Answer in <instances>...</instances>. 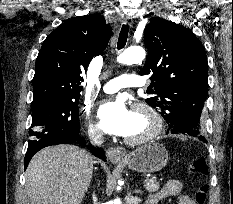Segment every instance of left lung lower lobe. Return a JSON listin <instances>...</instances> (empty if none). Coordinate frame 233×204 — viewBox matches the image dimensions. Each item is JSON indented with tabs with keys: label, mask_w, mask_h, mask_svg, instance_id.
I'll return each instance as SVG.
<instances>
[{
	"label": "left lung lower lobe",
	"mask_w": 233,
	"mask_h": 204,
	"mask_svg": "<svg viewBox=\"0 0 233 204\" xmlns=\"http://www.w3.org/2000/svg\"><path fill=\"white\" fill-rule=\"evenodd\" d=\"M197 114L198 109L196 107L185 106L174 113L171 122L176 126H194L198 123ZM169 133L173 134L172 132ZM198 138L205 143L207 142L202 135H199Z\"/></svg>",
	"instance_id": "1"
}]
</instances>
